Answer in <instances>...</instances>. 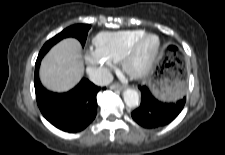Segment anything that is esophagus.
Listing matches in <instances>:
<instances>
[{"instance_id": "34e87169", "label": "esophagus", "mask_w": 225, "mask_h": 155, "mask_svg": "<svg viewBox=\"0 0 225 155\" xmlns=\"http://www.w3.org/2000/svg\"><path fill=\"white\" fill-rule=\"evenodd\" d=\"M110 88H111L112 90H123V89H124V86L117 83V84L111 85Z\"/></svg>"}]
</instances>
